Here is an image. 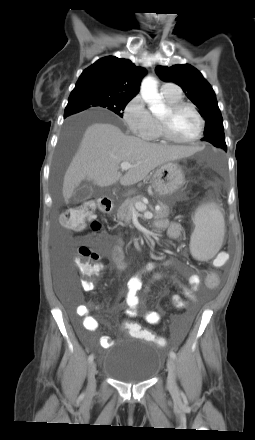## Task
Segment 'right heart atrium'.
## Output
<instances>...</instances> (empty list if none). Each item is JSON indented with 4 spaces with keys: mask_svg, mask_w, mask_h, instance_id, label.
Returning a JSON list of instances; mask_svg holds the SVG:
<instances>
[{
    "mask_svg": "<svg viewBox=\"0 0 255 440\" xmlns=\"http://www.w3.org/2000/svg\"><path fill=\"white\" fill-rule=\"evenodd\" d=\"M123 119L130 132L147 138L156 128V122L140 95L134 96L125 106Z\"/></svg>",
    "mask_w": 255,
    "mask_h": 440,
    "instance_id": "1",
    "label": "right heart atrium"
}]
</instances>
